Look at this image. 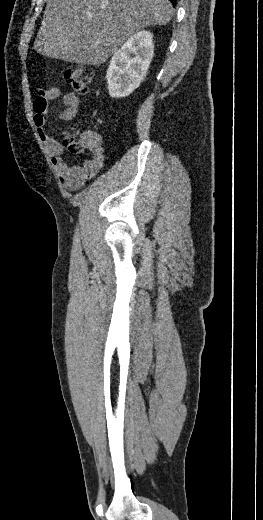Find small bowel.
Returning a JSON list of instances; mask_svg holds the SVG:
<instances>
[{
    "label": "small bowel",
    "mask_w": 263,
    "mask_h": 520,
    "mask_svg": "<svg viewBox=\"0 0 263 520\" xmlns=\"http://www.w3.org/2000/svg\"><path fill=\"white\" fill-rule=\"evenodd\" d=\"M60 99L64 108L59 113L60 120H72L80 106V99L74 93L61 94V91L52 87L40 90L33 102V122L38 135L43 142L55 171L59 175L61 183L69 190L81 188L86 181L94 177L103 167V148L101 136L95 131H86L83 139L89 145L93 157L80 164L69 166L63 159V146L51 137L46 131V114L49 110L50 102Z\"/></svg>",
    "instance_id": "c3829d8e"
}]
</instances>
